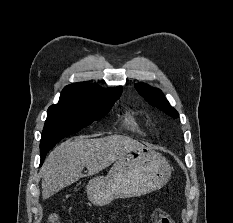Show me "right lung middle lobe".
I'll return each mask as SVG.
<instances>
[{"label":"right lung middle lobe","instance_id":"right-lung-middle-lobe-1","mask_svg":"<svg viewBox=\"0 0 233 223\" xmlns=\"http://www.w3.org/2000/svg\"><path fill=\"white\" fill-rule=\"evenodd\" d=\"M112 104H88L70 101H59L48 108L40 150L43 153L52 149L64 137L80 131L105 116Z\"/></svg>","mask_w":233,"mask_h":223}]
</instances>
